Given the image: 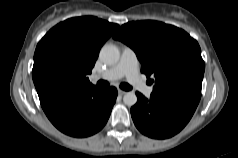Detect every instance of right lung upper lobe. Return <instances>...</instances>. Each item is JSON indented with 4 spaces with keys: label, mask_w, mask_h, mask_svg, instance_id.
I'll return each instance as SVG.
<instances>
[{
    "label": "right lung upper lobe",
    "mask_w": 238,
    "mask_h": 158,
    "mask_svg": "<svg viewBox=\"0 0 238 158\" xmlns=\"http://www.w3.org/2000/svg\"><path fill=\"white\" fill-rule=\"evenodd\" d=\"M119 27L93 16L67 19L54 26L38 43L34 53L33 81L38 88L45 84L85 88L93 86L91 73L99 50ZM49 60L60 66L57 75L49 74Z\"/></svg>",
    "instance_id": "cb5924a9"
}]
</instances>
